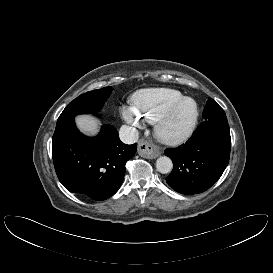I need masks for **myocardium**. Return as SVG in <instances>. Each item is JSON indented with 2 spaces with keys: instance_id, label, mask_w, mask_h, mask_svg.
<instances>
[{
  "instance_id": "obj_1",
  "label": "myocardium",
  "mask_w": 273,
  "mask_h": 273,
  "mask_svg": "<svg viewBox=\"0 0 273 273\" xmlns=\"http://www.w3.org/2000/svg\"><path fill=\"white\" fill-rule=\"evenodd\" d=\"M192 102L194 105V115L190 120L188 126L181 132L170 135L165 132V128L169 120L172 118L174 113L185 103ZM199 120V106L197 102L191 97H183L180 100L171 104L156 120L154 132L157 139L166 144L171 146H177L185 141H187L195 131L196 125Z\"/></svg>"
}]
</instances>
